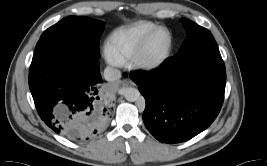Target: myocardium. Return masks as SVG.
Instances as JSON below:
<instances>
[{"instance_id":"myocardium-1","label":"myocardium","mask_w":267,"mask_h":166,"mask_svg":"<svg viewBox=\"0 0 267 166\" xmlns=\"http://www.w3.org/2000/svg\"><path fill=\"white\" fill-rule=\"evenodd\" d=\"M160 32H166L168 36L167 44L163 52L157 56L148 55V47L153 38ZM174 38L172 32L164 26H158L152 30L142 43L137 47L130 56V63L139 70L150 71L160 67L170 57L173 49Z\"/></svg>"}]
</instances>
